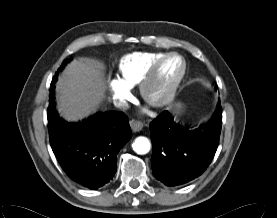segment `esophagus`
I'll use <instances>...</instances> for the list:
<instances>
[{
    "label": "esophagus",
    "instance_id": "1",
    "mask_svg": "<svg viewBox=\"0 0 277 218\" xmlns=\"http://www.w3.org/2000/svg\"><path fill=\"white\" fill-rule=\"evenodd\" d=\"M129 124H130V127H131L132 131H134V132H139L143 128V123L141 121H138V120H131L129 122Z\"/></svg>",
    "mask_w": 277,
    "mask_h": 218
}]
</instances>
